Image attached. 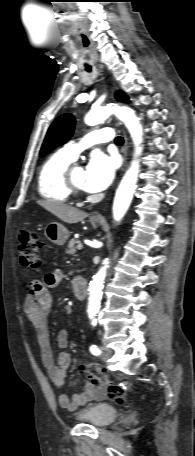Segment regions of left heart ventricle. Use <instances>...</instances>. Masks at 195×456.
Here are the masks:
<instances>
[{
  "mask_svg": "<svg viewBox=\"0 0 195 456\" xmlns=\"http://www.w3.org/2000/svg\"><path fill=\"white\" fill-rule=\"evenodd\" d=\"M72 178L75 184L83 188L85 170L81 167H76L72 172Z\"/></svg>",
  "mask_w": 195,
  "mask_h": 456,
  "instance_id": "b2bd125f",
  "label": "left heart ventricle"
}]
</instances>
